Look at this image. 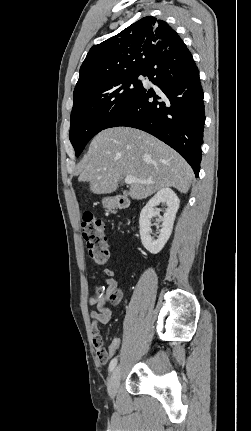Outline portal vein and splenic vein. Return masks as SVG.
Instances as JSON below:
<instances>
[{
    "mask_svg": "<svg viewBox=\"0 0 251 431\" xmlns=\"http://www.w3.org/2000/svg\"><path fill=\"white\" fill-rule=\"evenodd\" d=\"M135 182H137V183H142V184H149V183H151V181H143V180H139V179H136L135 177H133V176H126L125 177V183L126 184H133V183H135Z\"/></svg>",
    "mask_w": 251,
    "mask_h": 431,
    "instance_id": "18ae733b",
    "label": "portal vein and splenic vein"
}]
</instances>
